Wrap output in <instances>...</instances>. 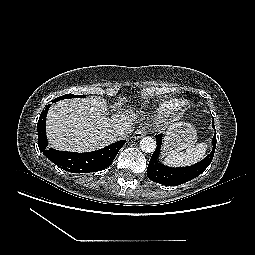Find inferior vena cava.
Segmentation results:
<instances>
[{
    "label": "inferior vena cava",
    "mask_w": 255,
    "mask_h": 255,
    "mask_svg": "<svg viewBox=\"0 0 255 255\" xmlns=\"http://www.w3.org/2000/svg\"><path fill=\"white\" fill-rule=\"evenodd\" d=\"M113 132L114 136L118 140H121L126 138L132 132V128L128 123H125L122 125L115 126Z\"/></svg>",
    "instance_id": "inferior-vena-cava-1"
}]
</instances>
